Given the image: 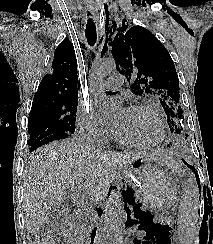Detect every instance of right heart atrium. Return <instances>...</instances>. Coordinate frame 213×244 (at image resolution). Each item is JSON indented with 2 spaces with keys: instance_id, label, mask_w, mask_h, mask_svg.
I'll return each mask as SVG.
<instances>
[{
  "instance_id": "right-heart-atrium-1",
  "label": "right heart atrium",
  "mask_w": 213,
  "mask_h": 244,
  "mask_svg": "<svg viewBox=\"0 0 213 244\" xmlns=\"http://www.w3.org/2000/svg\"><path fill=\"white\" fill-rule=\"evenodd\" d=\"M110 125L101 119L92 106L83 105L77 111L75 136L79 140L100 144L109 136Z\"/></svg>"
}]
</instances>
